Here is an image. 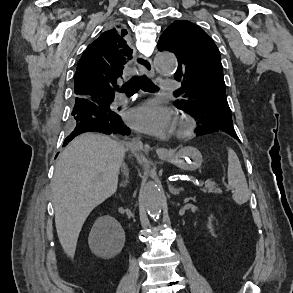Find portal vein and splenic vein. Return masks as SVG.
Returning a JSON list of instances; mask_svg holds the SVG:
<instances>
[{
  "label": "portal vein and splenic vein",
  "mask_w": 293,
  "mask_h": 293,
  "mask_svg": "<svg viewBox=\"0 0 293 293\" xmlns=\"http://www.w3.org/2000/svg\"><path fill=\"white\" fill-rule=\"evenodd\" d=\"M196 186H199L200 184L198 182L195 183Z\"/></svg>",
  "instance_id": "portal-vein-and-splenic-vein-1"
}]
</instances>
